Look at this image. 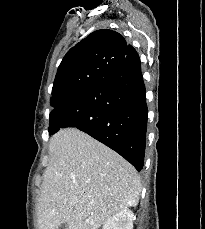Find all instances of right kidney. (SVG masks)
I'll return each mask as SVG.
<instances>
[{
    "label": "right kidney",
    "mask_w": 205,
    "mask_h": 229,
    "mask_svg": "<svg viewBox=\"0 0 205 229\" xmlns=\"http://www.w3.org/2000/svg\"><path fill=\"white\" fill-rule=\"evenodd\" d=\"M134 214L129 209H124L112 216L102 229H133Z\"/></svg>",
    "instance_id": "obj_1"
}]
</instances>
